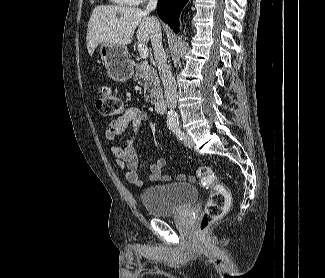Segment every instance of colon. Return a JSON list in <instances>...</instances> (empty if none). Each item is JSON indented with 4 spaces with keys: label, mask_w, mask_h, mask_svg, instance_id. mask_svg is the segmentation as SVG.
I'll return each mask as SVG.
<instances>
[{
    "label": "colon",
    "mask_w": 325,
    "mask_h": 278,
    "mask_svg": "<svg viewBox=\"0 0 325 278\" xmlns=\"http://www.w3.org/2000/svg\"><path fill=\"white\" fill-rule=\"evenodd\" d=\"M95 107L106 118H118L125 111L124 103L108 86H101L96 93ZM201 185L210 188L209 198L201 215L198 231L205 232L210 225L223 217L227 211L231 195L228 189L218 182L212 168L201 166L196 171Z\"/></svg>",
    "instance_id": "5ec220e1"
}]
</instances>
